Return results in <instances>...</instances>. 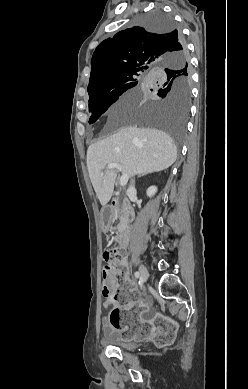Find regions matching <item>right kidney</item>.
<instances>
[{"label": "right kidney", "mask_w": 248, "mask_h": 389, "mask_svg": "<svg viewBox=\"0 0 248 389\" xmlns=\"http://www.w3.org/2000/svg\"><path fill=\"white\" fill-rule=\"evenodd\" d=\"M157 192V187L151 186L147 189L146 194L148 197H152Z\"/></svg>", "instance_id": "1"}]
</instances>
